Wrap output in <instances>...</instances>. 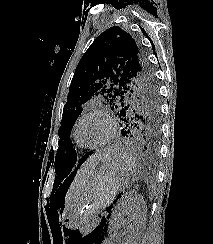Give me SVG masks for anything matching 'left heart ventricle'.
Wrapping results in <instances>:
<instances>
[{"mask_svg":"<svg viewBox=\"0 0 213 244\" xmlns=\"http://www.w3.org/2000/svg\"><path fill=\"white\" fill-rule=\"evenodd\" d=\"M108 133L106 121L97 115L89 116L84 119L77 130L79 140L86 145L100 143Z\"/></svg>","mask_w":213,"mask_h":244,"instance_id":"left-heart-ventricle-1","label":"left heart ventricle"}]
</instances>
